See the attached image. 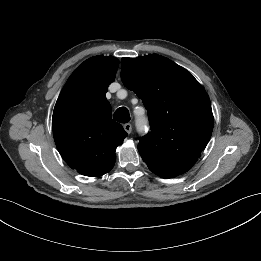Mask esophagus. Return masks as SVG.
Listing matches in <instances>:
<instances>
[{
	"label": "esophagus",
	"mask_w": 261,
	"mask_h": 261,
	"mask_svg": "<svg viewBox=\"0 0 261 261\" xmlns=\"http://www.w3.org/2000/svg\"><path fill=\"white\" fill-rule=\"evenodd\" d=\"M124 130L128 133V134H130L131 132H132V125L130 124V123H126V124H124Z\"/></svg>",
	"instance_id": "34e87169"
}]
</instances>
